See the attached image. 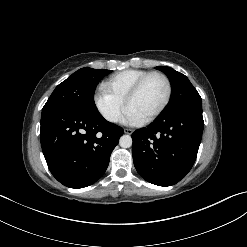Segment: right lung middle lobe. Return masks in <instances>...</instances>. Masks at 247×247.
<instances>
[{
  "label": "right lung middle lobe",
  "mask_w": 247,
  "mask_h": 247,
  "mask_svg": "<svg viewBox=\"0 0 247 247\" xmlns=\"http://www.w3.org/2000/svg\"><path fill=\"white\" fill-rule=\"evenodd\" d=\"M111 72L88 67L79 69L55 88L43 110L65 106L86 112H98L94 102L95 88L99 81Z\"/></svg>",
  "instance_id": "1"
}]
</instances>
